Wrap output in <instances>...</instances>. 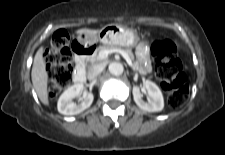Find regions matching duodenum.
I'll use <instances>...</instances> for the list:
<instances>
[{"mask_svg":"<svg viewBox=\"0 0 225 155\" xmlns=\"http://www.w3.org/2000/svg\"><path fill=\"white\" fill-rule=\"evenodd\" d=\"M76 68L73 75V80L76 84H82L86 80L85 60L93 52V47L90 44L78 43L74 48Z\"/></svg>","mask_w":225,"mask_h":155,"instance_id":"obj_1","label":"duodenum"}]
</instances>
